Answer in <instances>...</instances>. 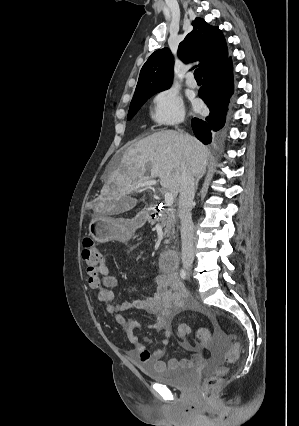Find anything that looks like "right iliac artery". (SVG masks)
<instances>
[{"mask_svg":"<svg viewBox=\"0 0 299 426\" xmlns=\"http://www.w3.org/2000/svg\"><path fill=\"white\" fill-rule=\"evenodd\" d=\"M180 277H181L182 279H186V271H185L184 269H181V270H180Z\"/></svg>","mask_w":299,"mask_h":426,"instance_id":"82829eb1","label":"right iliac artery"}]
</instances>
